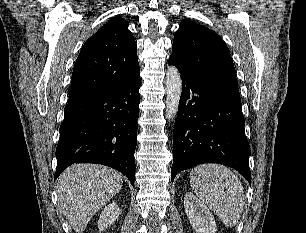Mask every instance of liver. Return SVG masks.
<instances>
[{
    "mask_svg": "<svg viewBox=\"0 0 306 233\" xmlns=\"http://www.w3.org/2000/svg\"><path fill=\"white\" fill-rule=\"evenodd\" d=\"M122 176L106 166L75 164L57 184L58 206L77 233H83L93 215L121 189Z\"/></svg>",
    "mask_w": 306,
    "mask_h": 233,
    "instance_id": "obj_1",
    "label": "liver"
}]
</instances>
